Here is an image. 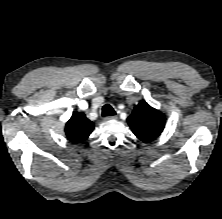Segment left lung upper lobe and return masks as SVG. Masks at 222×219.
I'll return each instance as SVG.
<instances>
[{
	"label": "left lung upper lobe",
	"instance_id": "5c2ea615",
	"mask_svg": "<svg viewBox=\"0 0 222 219\" xmlns=\"http://www.w3.org/2000/svg\"><path fill=\"white\" fill-rule=\"evenodd\" d=\"M127 122L138 139L151 141L162 132L165 116L147 102L141 101L134 107L132 114L127 118Z\"/></svg>",
	"mask_w": 222,
	"mask_h": 219
}]
</instances>
